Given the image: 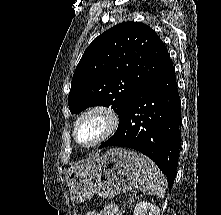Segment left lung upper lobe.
Listing matches in <instances>:
<instances>
[{
	"label": "left lung upper lobe",
	"instance_id": "1",
	"mask_svg": "<svg viewBox=\"0 0 221 215\" xmlns=\"http://www.w3.org/2000/svg\"><path fill=\"white\" fill-rule=\"evenodd\" d=\"M169 59L164 43L146 24L127 21L110 28L92 41L75 69L71 113L111 106L120 119Z\"/></svg>",
	"mask_w": 221,
	"mask_h": 215
}]
</instances>
